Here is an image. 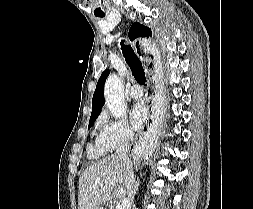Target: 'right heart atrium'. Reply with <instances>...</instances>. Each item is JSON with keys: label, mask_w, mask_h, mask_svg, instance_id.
<instances>
[{"label": "right heart atrium", "mask_w": 253, "mask_h": 209, "mask_svg": "<svg viewBox=\"0 0 253 209\" xmlns=\"http://www.w3.org/2000/svg\"><path fill=\"white\" fill-rule=\"evenodd\" d=\"M134 132L124 119L111 118L103 113L99 120L97 140L107 150H114L122 144H129Z\"/></svg>", "instance_id": "1"}]
</instances>
